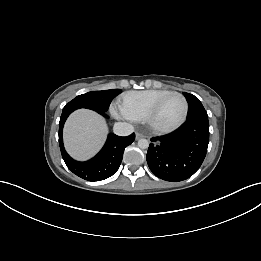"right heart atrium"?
Segmentation results:
<instances>
[{"label": "right heart atrium", "mask_w": 261, "mask_h": 261, "mask_svg": "<svg viewBox=\"0 0 261 261\" xmlns=\"http://www.w3.org/2000/svg\"><path fill=\"white\" fill-rule=\"evenodd\" d=\"M112 113L117 117H124L121 112H119L116 108H112Z\"/></svg>", "instance_id": "obj_1"}]
</instances>
